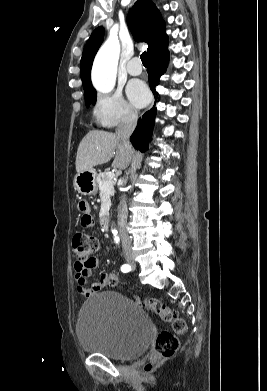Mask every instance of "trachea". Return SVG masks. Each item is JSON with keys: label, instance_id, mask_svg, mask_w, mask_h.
<instances>
[{"label": "trachea", "instance_id": "obj_1", "mask_svg": "<svg viewBox=\"0 0 267 391\" xmlns=\"http://www.w3.org/2000/svg\"><path fill=\"white\" fill-rule=\"evenodd\" d=\"M140 57H141V61H142L143 65H148V60H147V54H146V52H143V53L140 55Z\"/></svg>", "mask_w": 267, "mask_h": 391}]
</instances>
